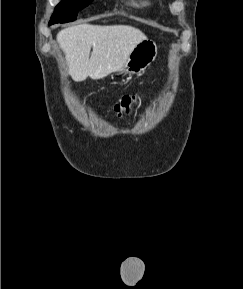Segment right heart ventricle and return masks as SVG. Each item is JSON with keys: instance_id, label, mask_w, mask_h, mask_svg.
Returning <instances> with one entry per match:
<instances>
[{"instance_id": "right-heart-ventricle-1", "label": "right heart ventricle", "mask_w": 243, "mask_h": 289, "mask_svg": "<svg viewBox=\"0 0 243 289\" xmlns=\"http://www.w3.org/2000/svg\"><path fill=\"white\" fill-rule=\"evenodd\" d=\"M149 5V3L146 0H138L134 6L138 7V8H143V7H147Z\"/></svg>"}]
</instances>
